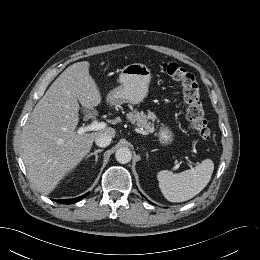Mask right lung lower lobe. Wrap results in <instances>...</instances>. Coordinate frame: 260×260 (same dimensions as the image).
Wrapping results in <instances>:
<instances>
[{"instance_id":"right-lung-lower-lobe-1","label":"right lung lower lobe","mask_w":260,"mask_h":260,"mask_svg":"<svg viewBox=\"0 0 260 260\" xmlns=\"http://www.w3.org/2000/svg\"><path fill=\"white\" fill-rule=\"evenodd\" d=\"M88 193H86L83 196L77 197V198H73V199H63V200H57L58 203H62V204H73L81 199H83L85 196H87Z\"/></svg>"}]
</instances>
